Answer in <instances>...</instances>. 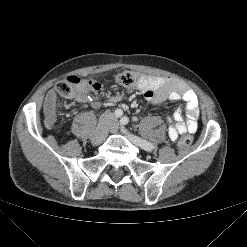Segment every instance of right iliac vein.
Masks as SVG:
<instances>
[{
    "label": "right iliac vein",
    "instance_id": "1",
    "mask_svg": "<svg viewBox=\"0 0 247 247\" xmlns=\"http://www.w3.org/2000/svg\"><path fill=\"white\" fill-rule=\"evenodd\" d=\"M109 125H110V116L106 114L99 120V123L91 138V142L93 144H99L106 139L109 130Z\"/></svg>",
    "mask_w": 247,
    "mask_h": 247
}]
</instances>
